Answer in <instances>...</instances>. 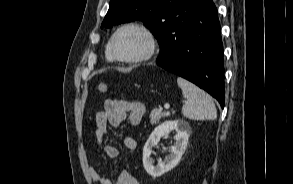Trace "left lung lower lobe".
<instances>
[{
    "mask_svg": "<svg viewBox=\"0 0 293 184\" xmlns=\"http://www.w3.org/2000/svg\"><path fill=\"white\" fill-rule=\"evenodd\" d=\"M160 53L159 66L204 89L224 107L223 45L212 0L178 2Z\"/></svg>",
    "mask_w": 293,
    "mask_h": 184,
    "instance_id": "0a47b994",
    "label": "left lung lower lobe"
}]
</instances>
